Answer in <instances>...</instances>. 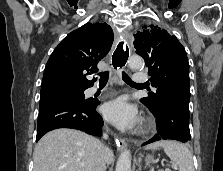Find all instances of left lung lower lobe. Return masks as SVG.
<instances>
[{"label": "left lung lower lobe", "instance_id": "0a47b994", "mask_svg": "<svg viewBox=\"0 0 223 171\" xmlns=\"http://www.w3.org/2000/svg\"><path fill=\"white\" fill-rule=\"evenodd\" d=\"M156 118L157 134L143 143L172 139L188 142L191 139L189 130V107L175 100H166L153 112Z\"/></svg>", "mask_w": 223, "mask_h": 171}]
</instances>
